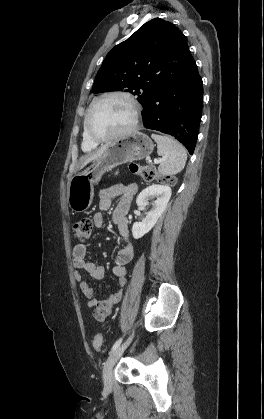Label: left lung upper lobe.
Here are the masks:
<instances>
[{
  "label": "left lung upper lobe",
  "mask_w": 264,
  "mask_h": 419,
  "mask_svg": "<svg viewBox=\"0 0 264 419\" xmlns=\"http://www.w3.org/2000/svg\"><path fill=\"white\" fill-rule=\"evenodd\" d=\"M183 34L174 24L155 18L115 46L99 69L93 92L123 90L144 105L156 81L170 75L176 44Z\"/></svg>",
  "instance_id": "obj_1"
}]
</instances>
